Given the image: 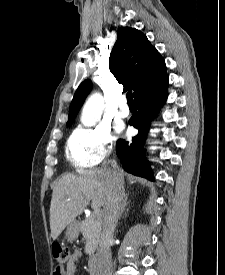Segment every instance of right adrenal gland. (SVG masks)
<instances>
[{
  "label": "right adrenal gland",
  "mask_w": 225,
  "mask_h": 275,
  "mask_svg": "<svg viewBox=\"0 0 225 275\" xmlns=\"http://www.w3.org/2000/svg\"><path fill=\"white\" fill-rule=\"evenodd\" d=\"M129 204V201H128V194H125L124 195V199L121 203V207H120V211H119V217L118 218H121L122 217V214L124 213L125 211V208L126 206Z\"/></svg>",
  "instance_id": "obj_1"
}]
</instances>
